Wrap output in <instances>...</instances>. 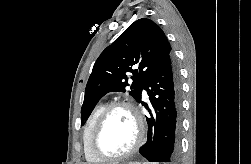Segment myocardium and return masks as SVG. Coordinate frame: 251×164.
Instances as JSON below:
<instances>
[{"label":"myocardium","instance_id":"obj_1","mask_svg":"<svg viewBox=\"0 0 251 164\" xmlns=\"http://www.w3.org/2000/svg\"><path fill=\"white\" fill-rule=\"evenodd\" d=\"M118 108H125L132 114L136 123V127H137V137L133 146L125 153H122L119 155H106L98 149V146H97L98 137L109 115L115 109H118ZM144 138H145V125H144V121L141 114L131 102L120 100V101L112 102L109 105H107L105 109L102 111V113L99 115L92 129L89 145H90L91 153L99 160L118 161V160H122L133 155L141 147L144 141Z\"/></svg>","mask_w":251,"mask_h":164}]
</instances>
